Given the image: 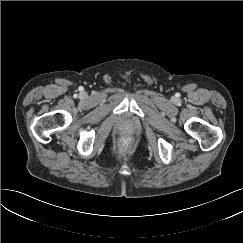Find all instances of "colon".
Wrapping results in <instances>:
<instances>
[{
	"label": "colon",
	"instance_id": "colon-1",
	"mask_svg": "<svg viewBox=\"0 0 243 243\" xmlns=\"http://www.w3.org/2000/svg\"><path fill=\"white\" fill-rule=\"evenodd\" d=\"M129 146H130V142H129L128 140H123V141L121 142V149H122V150H126V149H128Z\"/></svg>",
	"mask_w": 243,
	"mask_h": 243
}]
</instances>
